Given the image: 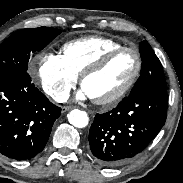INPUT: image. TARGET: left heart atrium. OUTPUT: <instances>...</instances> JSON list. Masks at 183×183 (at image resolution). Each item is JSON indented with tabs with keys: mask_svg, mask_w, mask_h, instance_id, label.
<instances>
[{
	"mask_svg": "<svg viewBox=\"0 0 183 183\" xmlns=\"http://www.w3.org/2000/svg\"><path fill=\"white\" fill-rule=\"evenodd\" d=\"M79 99H86V98H90V96L88 95V93L86 92V90L82 87V89L78 92L77 94Z\"/></svg>",
	"mask_w": 183,
	"mask_h": 183,
	"instance_id": "left-heart-atrium-1",
	"label": "left heart atrium"
}]
</instances>
